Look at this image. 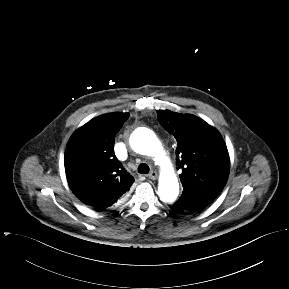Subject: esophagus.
Wrapping results in <instances>:
<instances>
[{
    "mask_svg": "<svg viewBox=\"0 0 289 289\" xmlns=\"http://www.w3.org/2000/svg\"><path fill=\"white\" fill-rule=\"evenodd\" d=\"M157 177H158V174L155 171L150 172L149 175H148V178L151 179V180H156Z\"/></svg>",
    "mask_w": 289,
    "mask_h": 289,
    "instance_id": "1",
    "label": "esophagus"
}]
</instances>
